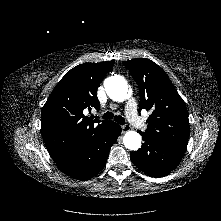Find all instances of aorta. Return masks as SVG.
<instances>
[{"instance_id":"obj_1","label":"aorta","mask_w":221,"mask_h":221,"mask_svg":"<svg viewBox=\"0 0 221 221\" xmlns=\"http://www.w3.org/2000/svg\"><path fill=\"white\" fill-rule=\"evenodd\" d=\"M107 95L116 102H123L128 94L127 81L119 75L108 77L104 81ZM142 138L136 131H128L123 137V143L130 150H138L141 146Z\"/></svg>"}]
</instances>
